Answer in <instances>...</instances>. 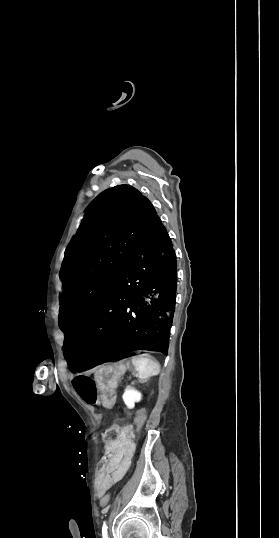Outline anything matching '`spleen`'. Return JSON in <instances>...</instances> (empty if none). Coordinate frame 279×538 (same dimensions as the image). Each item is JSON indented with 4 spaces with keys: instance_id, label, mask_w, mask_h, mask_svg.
<instances>
[{
    "instance_id": "3e777b00",
    "label": "spleen",
    "mask_w": 279,
    "mask_h": 538,
    "mask_svg": "<svg viewBox=\"0 0 279 538\" xmlns=\"http://www.w3.org/2000/svg\"><path fill=\"white\" fill-rule=\"evenodd\" d=\"M132 364L135 366L137 372H139V378H150V376H157L160 372L158 362H153L149 354L133 356Z\"/></svg>"
}]
</instances>
